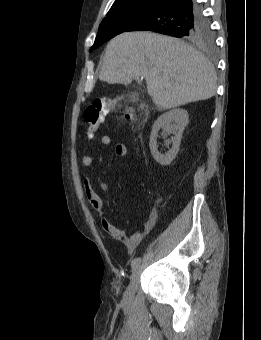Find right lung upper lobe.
Listing matches in <instances>:
<instances>
[{
  "instance_id": "obj_1",
  "label": "right lung upper lobe",
  "mask_w": 261,
  "mask_h": 340,
  "mask_svg": "<svg viewBox=\"0 0 261 340\" xmlns=\"http://www.w3.org/2000/svg\"><path fill=\"white\" fill-rule=\"evenodd\" d=\"M137 1H159L160 2L161 0H116L114 4L112 5V7L131 3V2H137Z\"/></svg>"
}]
</instances>
